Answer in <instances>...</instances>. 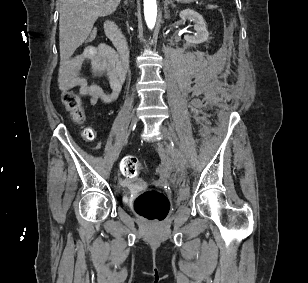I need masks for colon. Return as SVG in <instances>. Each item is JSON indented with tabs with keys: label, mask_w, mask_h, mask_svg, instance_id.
<instances>
[{
	"label": "colon",
	"mask_w": 308,
	"mask_h": 283,
	"mask_svg": "<svg viewBox=\"0 0 308 283\" xmlns=\"http://www.w3.org/2000/svg\"><path fill=\"white\" fill-rule=\"evenodd\" d=\"M96 35L97 32L93 29L89 34L88 40H94ZM61 99L66 109L72 114L74 120L81 123L84 116L79 95L72 90H67L62 93ZM83 136L86 139H91L93 137V132L86 129L83 132ZM120 169L126 178L132 179L143 171V166L135 156H126L121 161ZM135 209L144 218L161 221L168 214L169 201L161 192L147 190L136 198Z\"/></svg>",
	"instance_id": "1"
}]
</instances>
